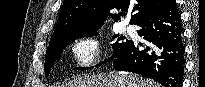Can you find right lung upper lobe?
Returning a JSON list of instances; mask_svg holds the SVG:
<instances>
[{"label":"right lung upper lobe","instance_id":"right-lung-upper-lobe-1","mask_svg":"<svg viewBox=\"0 0 205 87\" xmlns=\"http://www.w3.org/2000/svg\"><path fill=\"white\" fill-rule=\"evenodd\" d=\"M64 0L50 44L68 34L99 29L109 15L117 22L128 10L134 13L130 24H139L171 0ZM112 10H121L112 14Z\"/></svg>","mask_w":205,"mask_h":87}]
</instances>
